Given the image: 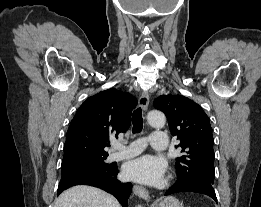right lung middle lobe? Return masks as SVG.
I'll return each instance as SVG.
<instances>
[{
    "mask_svg": "<svg viewBox=\"0 0 261 207\" xmlns=\"http://www.w3.org/2000/svg\"><path fill=\"white\" fill-rule=\"evenodd\" d=\"M107 156H86L62 161V174L84 169H104L109 166L104 160Z\"/></svg>",
    "mask_w": 261,
    "mask_h": 207,
    "instance_id": "1",
    "label": "right lung middle lobe"
}]
</instances>
